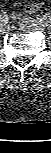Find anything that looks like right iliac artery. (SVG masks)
Here are the masks:
<instances>
[{"instance_id":"obj_1","label":"right iliac artery","mask_w":51,"mask_h":153,"mask_svg":"<svg viewBox=\"0 0 51 153\" xmlns=\"http://www.w3.org/2000/svg\"><path fill=\"white\" fill-rule=\"evenodd\" d=\"M8 15H7V12L5 10H2L1 11V14H0V21H1V25L2 24H7L8 23Z\"/></svg>"}]
</instances>
